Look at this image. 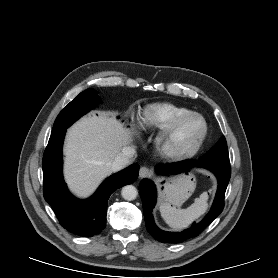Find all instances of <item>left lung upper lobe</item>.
<instances>
[{
	"label": "left lung upper lobe",
	"mask_w": 278,
	"mask_h": 278,
	"mask_svg": "<svg viewBox=\"0 0 278 278\" xmlns=\"http://www.w3.org/2000/svg\"><path fill=\"white\" fill-rule=\"evenodd\" d=\"M199 161L207 165L230 168L229 154L225 137L222 136L215 146L199 158Z\"/></svg>",
	"instance_id": "5c2ea615"
}]
</instances>
